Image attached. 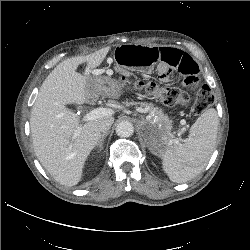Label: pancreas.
<instances>
[{
  "label": "pancreas",
  "mask_w": 250,
  "mask_h": 250,
  "mask_svg": "<svg viewBox=\"0 0 250 250\" xmlns=\"http://www.w3.org/2000/svg\"><path fill=\"white\" fill-rule=\"evenodd\" d=\"M126 105H139L141 108L146 109L148 112H150L153 116L159 119H166L163 112L159 110L157 107H154L153 104L150 103H140V102H126Z\"/></svg>",
  "instance_id": "cf45deb5"
}]
</instances>
